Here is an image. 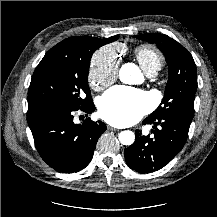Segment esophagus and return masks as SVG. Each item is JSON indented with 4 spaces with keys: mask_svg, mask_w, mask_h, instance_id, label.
Returning a JSON list of instances; mask_svg holds the SVG:
<instances>
[{
    "mask_svg": "<svg viewBox=\"0 0 217 217\" xmlns=\"http://www.w3.org/2000/svg\"><path fill=\"white\" fill-rule=\"evenodd\" d=\"M107 129L110 130V131H117L116 128H114V127H112V126H110V125L107 126Z\"/></svg>",
    "mask_w": 217,
    "mask_h": 217,
    "instance_id": "34e87169",
    "label": "esophagus"
}]
</instances>
